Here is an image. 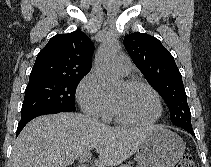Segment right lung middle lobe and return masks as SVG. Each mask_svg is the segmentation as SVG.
Returning <instances> with one entry per match:
<instances>
[{
  "label": "right lung middle lobe",
  "instance_id": "1",
  "mask_svg": "<svg viewBox=\"0 0 211 167\" xmlns=\"http://www.w3.org/2000/svg\"><path fill=\"white\" fill-rule=\"evenodd\" d=\"M82 77L29 81L21 118L49 110L75 111V91Z\"/></svg>",
  "mask_w": 211,
  "mask_h": 167
}]
</instances>
